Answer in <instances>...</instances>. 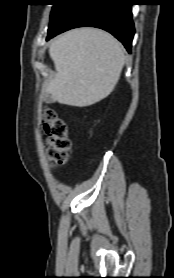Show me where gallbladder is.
Returning <instances> with one entry per match:
<instances>
[{
    "mask_svg": "<svg viewBox=\"0 0 174 278\" xmlns=\"http://www.w3.org/2000/svg\"><path fill=\"white\" fill-rule=\"evenodd\" d=\"M44 101H45L46 103H52V102H54L53 98L51 97V95H50L49 93H47V94L44 95Z\"/></svg>",
    "mask_w": 174,
    "mask_h": 278,
    "instance_id": "bac80fb5",
    "label": "gallbladder"
}]
</instances>
